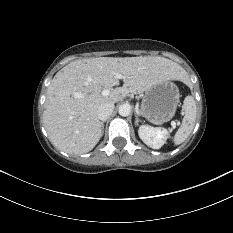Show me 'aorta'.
Instances as JSON below:
<instances>
[{"mask_svg": "<svg viewBox=\"0 0 233 233\" xmlns=\"http://www.w3.org/2000/svg\"><path fill=\"white\" fill-rule=\"evenodd\" d=\"M118 112L121 116L126 117L130 114L131 108L128 104H122L119 106Z\"/></svg>", "mask_w": 233, "mask_h": 233, "instance_id": "obj_1", "label": "aorta"}]
</instances>
